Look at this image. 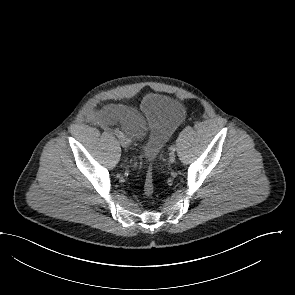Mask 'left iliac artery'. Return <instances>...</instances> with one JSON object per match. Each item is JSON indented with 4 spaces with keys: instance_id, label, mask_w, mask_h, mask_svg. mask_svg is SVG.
<instances>
[{
    "instance_id": "left-iliac-artery-1",
    "label": "left iliac artery",
    "mask_w": 295,
    "mask_h": 295,
    "mask_svg": "<svg viewBox=\"0 0 295 295\" xmlns=\"http://www.w3.org/2000/svg\"><path fill=\"white\" fill-rule=\"evenodd\" d=\"M169 150H170V151H175V150H176L175 145H171V146L169 147Z\"/></svg>"
}]
</instances>
